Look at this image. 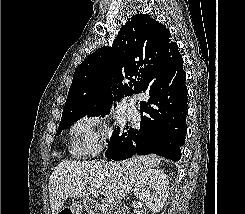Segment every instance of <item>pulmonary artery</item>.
<instances>
[{
  "label": "pulmonary artery",
  "mask_w": 245,
  "mask_h": 214,
  "mask_svg": "<svg viewBox=\"0 0 245 214\" xmlns=\"http://www.w3.org/2000/svg\"><path fill=\"white\" fill-rule=\"evenodd\" d=\"M128 110L130 111L131 115H135L136 114L134 104H132V103L128 104Z\"/></svg>",
  "instance_id": "pulmonary-artery-1"
}]
</instances>
